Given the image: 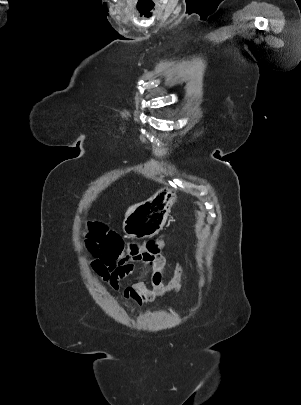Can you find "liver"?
<instances>
[{
  "instance_id": "liver-1",
  "label": "liver",
  "mask_w": 301,
  "mask_h": 405,
  "mask_svg": "<svg viewBox=\"0 0 301 405\" xmlns=\"http://www.w3.org/2000/svg\"><path fill=\"white\" fill-rule=\"evenodd\" d=\"M139 204L133 205L131 207L128 208L127 212H126V216L129 215Z\"/></svg>"
}]
</instances>
